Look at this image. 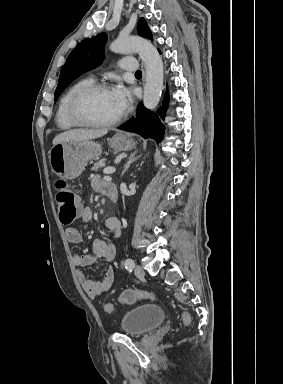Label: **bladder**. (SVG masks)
<instances>
[{
  "label": "bladder",
  "instance_id": "31cf9c89",
  "mask_svg": "<svg viewBox=\"0 0 283 384\" xmlns=\"http://www.w3.org/2000/svg\"><path fill=\"white\" fill-rule=\"evenodd\" d=\"M165 318L164 310L157 303H140L123 312L119 326L124 335L143 336L159 327Z\"/></svg>",
  "mask_w": 283,
  "mask_h": 384
}]
</instances>
